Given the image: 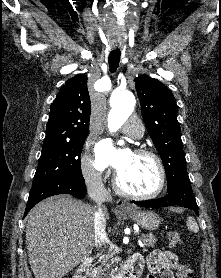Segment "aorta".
I'll use <instances>...</instances> for the list:
<instances>
[{
    "instance_id": "762f6f07",
    "label": "aorta",
    "mask_w": 221,
    "mask_h": 278,
    "mask_svg": "<svg viewBox=\"0 0 221 278\" xmlns=\"http://www.w3.org/2000/svg\"><path fill=\"white\" fill-rule=\"evenodd\" d=\"M111 110L108 114V128L111 132L117 131L132 114L135 106V97L128 91L116 92L111 97Z\"/></svg>"
}]
</instances>
